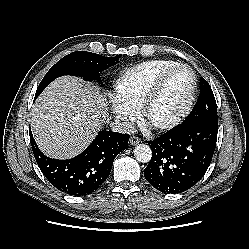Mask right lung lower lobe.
Segmentation results:
<instances>
[{"mask_svg": "<svg viewBox=\"0 0 249 249\" xmlns=\"http://www.w3.org/2000/svg\"><path fill=\"white\" fill-rule=\"evenodd\" d=\"M29 134L34 157L47 180L73 196H86L101 187L115 157L127 148L130 138L128 134L100 131L82 154L69 160H57L45 156L36 145L31 130Z\"/></svg>", "mask_w": 249, "mask_h": 249, "instance_id": "right-lung-lower-lobe-1", "label": "right lung lower lobe"}]
</instances>
